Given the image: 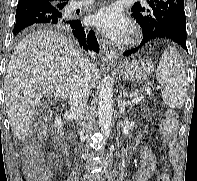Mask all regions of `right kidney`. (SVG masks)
Returning a JSON list of instances; mask_svg holds the SVG:
<instances>
[{
  "instance_id": "obj_1",
  "label": "right kidney",
  "mask_w": 197,
  "mask_h": 181,
  "mask_svg": "<svg viewBox=\"0 0 197 181\" xmlns=\"http://www.w3.org/2000/svg\"><path fill=\"white\" fill-rule=\"evenodd\" d=\"M54 128H57V131H55L57 133V139H63V136H64V132H63V123L61 121V119H57L55 120L54 122V125H53Z\"/></svg>"
}]
</instances>
